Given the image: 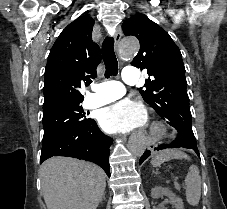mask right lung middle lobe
<instances>
[{
	"label": "right lung middle lobe",
	"mask_w": 227,
	"mask_h": 209,
	"mask_svg": "<svg viewBox=\"0 0 227 209\" xmlns=\"http://www.w3.org/2000/svg\"><path fill=\"white\" fill-rule=\"evenodd\" d=\"M77 101L54 100L43 105V139L63 130L81 126L88 122L80 103Z\"/></svg>",
	"instance_id": "right-lung-middle-lobe-1"
}]
</instances>
